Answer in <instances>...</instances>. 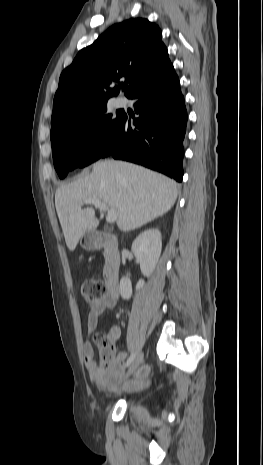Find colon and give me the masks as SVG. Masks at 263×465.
Returning <instances> with one entry per match:
<instances>
[{"instance_id": "colon-1", "label": "colon", "mask_w": 263, "mask_h": 465, "mask_svg": "<svg viewBox=\"0 0 263 465\" xmlns=\"http://www.w3.org/2000/svg\"><path fill=\"white\" fill-rule=\"evenodd\" d=\"M81 293L89 304L99 302L106 294L105 284L97 279H87L82 283ZM96 344L100 349L101 366L103 370H109L114 365L115 346L114 338L111 335L97 334L94 337Z\"/></svg>"}]
</instances>
